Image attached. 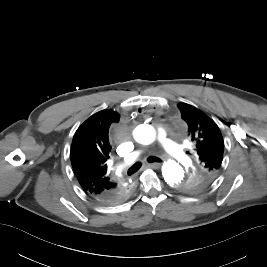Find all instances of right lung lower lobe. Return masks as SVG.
<instances>
[{
    "label": "right lung lower lobe",
    "mask_w": 267,
    "mask_h": 267,
    "mask_svg": "<svg viewBox=\"0 0 267 267\" xmlns=\"http://www.w3.org/2000/svg\"><path fill=\"white\" fill-rule=\"evenodd\" d=\"M132 193L131 184L121 185L114 191L103 193L100 196H91L100 203L113 205L125 201Z\"/></svg>",
    "instance_id": "1"
}]
</instances>
